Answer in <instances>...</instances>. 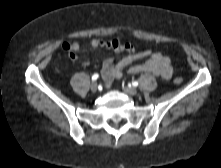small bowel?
Here are the masks:
<instances>
[{"label":"small bowel","instance_id":"c3829d8e","mask_svg":"<svg viewBox=\"0 0 221 168\" xmlns=\"http://www.w3.org/2000/svg\"><path fill=\"white\" fill-rule=\"evenodd\" d=\"M89 46L91 48L105 46L117 54L126 53V56L119 61H115L111 57L103 61L102 76L107 86L111 85L114 80L121 78L127 68L131 74L151 73L163 79H169L172 76L173 67L171 60L162 53L152 50L136 51L132 43L122 44L117 39L109 41L93 39L89 42ZM63 48L67 51L70 59L74 60L76 59V52L81 49V44L78 42H65ZM144 58H146L145 62L133 65L135 61ZM88 64V61L84 62V65Z\"/></svg>","mask_w":221,"mask_h":168}]
</instances>
